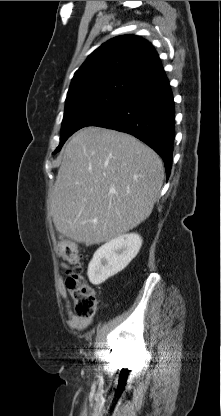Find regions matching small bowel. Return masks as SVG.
Masks as SVG:
<instances>
[{"mask_svg": "<svg viewBox=\"0 0 221 416\" xmlns=\"http://www.w3.org/2000/svg\"><path fill=\"white\" fill-rule=\"evenodd\" d=\"M61 266L64 270H69V266L67 264L62 263ZM59 291L62 299L64 300V311L68 316L69 327L77 330L85 329L92 322V318H80L71 311V305L68 300V291L64 284L63 277L59 278Z\"/></svg>", "mask_w": 221, "mask_h": 416, "instance_id": "c3829d8e", "label": "small bowel"}]
</instances>
